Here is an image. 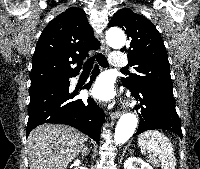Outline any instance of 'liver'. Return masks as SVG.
<instances>
[{
    "label": "liver",
    "instance_id": "obj_1",
    "mask_svg": "<svg viewBox=\"0 0 200 169\" xmlns=\"http://www.w3.org/2000/svg\"><path fill=\"white\" fill-rule=\"evenodd\" d=\"M87 137L67 125L44 124L27 138L30 169H66L78 156Z\"/></svg>",
    "mask_w": 200,
    "mask_h": 169
}]
</instances>
